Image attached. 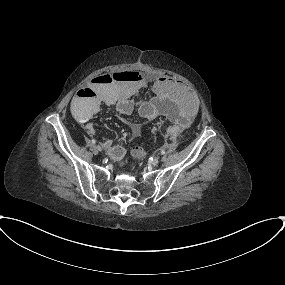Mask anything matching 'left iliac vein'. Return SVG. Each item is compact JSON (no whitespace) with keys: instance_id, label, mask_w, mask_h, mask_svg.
<instances>
[{"instance_id":"left-iliac-vein-1","label":"left iliac vein","mask_w":285,"mask_h":285,"mask_svg":"<svg viewBox=\"0 0 285 285\" xmlns=\"http://www.w3.org/2000/svg\"><path fill=\"white\" fill-rule=\"evenodd\" d=\"M153 166H157L159 164V158H154L151 162Z\"/></svg>"}]
</instances>
